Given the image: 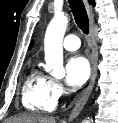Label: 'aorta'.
<instances>
[{
    "label": "aorta",
    "mask_w": 118,
    "mask_h": 123,
    "mask_svg": "<svg viewBox=\"0 0 118 123\" xmlns=\"http://www.w3.org/2000/svg\"><path fill=\"white\" fill-rule=\"evenodd\" d=\"M68 22L69 19L66 15H55L45 33V70L54 77L61 78L65 75L63 66V38ZM83 123H90V121L85 119Z\"/></svg>",
    "instance_id": "762f6f07"
}]
</instances>
